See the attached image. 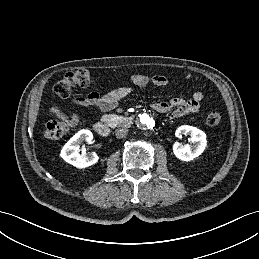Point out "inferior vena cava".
Here are the masks:
<instances>
[{
  "label": "inferior vena cava",
  "mask_w": 259,
  "mask_h": 259,
  "mask_svg": "<svg viewBox=\"0 0 259 259\" xmlns=\"http://www.w3.org/2000/svg\"><path fill=\"white\" fill-rule=\"evenodd\" d=\"M128 134L127 128H119L116 130V137L117 138H123Z\"/></svg>",
  "instance_id": "602c4592"
}]
</instances>
